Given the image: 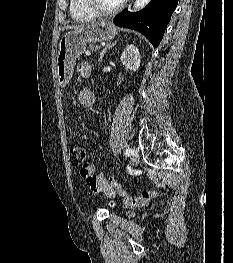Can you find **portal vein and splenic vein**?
Here are the masks:
<instances>
[{
	"label": "portal vein and splenic vein",
	"instance_id": "obj_1",
	"mask_svg": "<svg viewBox=\"0 0 233 263\" xmlns=\"http://www.w3.org/2000/svg\"><path fill=\"white\" fill-rule=\"evenodd\" d=\"M86 55H87V56H90V55H91V53H90V52H86Z\"/></svg>",
	"mask_w": 233,
	"mask_h": 263
}]
</instances>
